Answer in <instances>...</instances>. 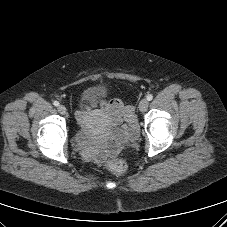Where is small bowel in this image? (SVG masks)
<instances>
[{
	"label": "small bowel",
	"mask_w": 227,
	"mask_h": 227,
	"mask_svg": "<svg viewBox=\"0 0 227 227\" xmlns=\"http://www.w3.org/2000/svg\"><path fill=\"white\" fill-rule=\"evenodd\" d=\"M101 111L96 114L99 124L98 129L90 138L81 137L78 145L83 156L95 161L100 165L106 157H113L117 154V141L127 140L137 134V123L134 115V109L126 106L119 99L110 101H100ZM83 115H79L82 122ZM110 123V126H109ZM124 123L121 127L120 124ZM107 132L108 142L107 149L102 146V132Z\"/></svg>",
	"instance_id": "c3829d8e"
}]
</instances>
